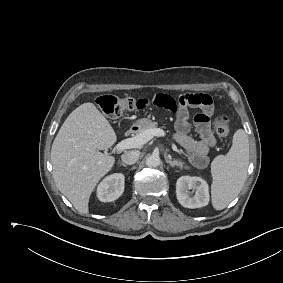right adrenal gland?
<instances>
[{
	"mask_svg": "<svg viewBox=\"0 0 283 283\" xmlns=\"http://www.w3.org/2000/svg\"><path fill=\"white\" fill-rule=\"evenodd\" d=\"M119 165L123 166V167H127L126 164L122 163V162H119Z\"/></svg>",
	"mask_w": 283,
	"mask_h": 283,
	"instance_id": "1",
	"label": "right adrenal gland"
}]
</instances>
